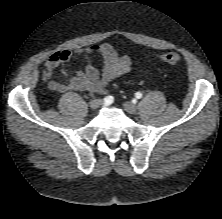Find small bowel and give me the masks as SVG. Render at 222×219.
<instances>
[{
  "label": "small bowel",
  "mask_w": 222,
  "mask_h": 219,
  "mask_svg": "<svg viewBox=\"0 0 222 219\" xmlns=\"http://www.w3.org/2000/svg\"><path fill=\"white\" fill-rule=\"evenodd\" d=\"M76 56L86 59L83 70H77L74 75L67 68V63ZM93 56H100L103 70L100 74L91 63ZM131 60L126 55H119L116 49L107 43L93 45L87 48L64 49L52 53L44 63L42 78L47 87L57 93L69 91H87L91 93H107L110 85L118 77L128 73ZM59 70L63 80L53 79V73Z\"/></svg>",
  "instance_id": "c3829d8e"
}]
</instances>
